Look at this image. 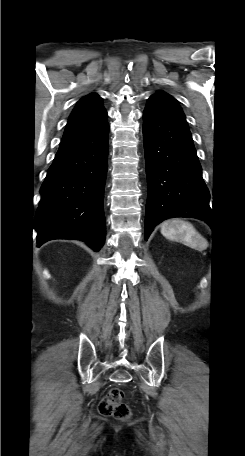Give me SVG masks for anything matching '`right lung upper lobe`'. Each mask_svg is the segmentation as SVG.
<instances>
[{"label": "right lung upper lobe", "mask_w": 245, "mask_h": 456, "mask_svg": "<svg viewBox=\"0 0 245 456\" xmlns=\"http://www.w3.org/2000/svg\"><path fill=\"white\" fill-rule=\"evenodd\" d=\"M107 124V112L96 93L81 98L71 113L57 153L93 143Z\"/></svg>", "instance_id": "cb5924a9"}]
</instances>
